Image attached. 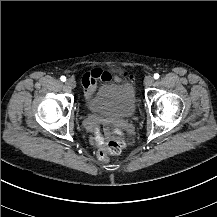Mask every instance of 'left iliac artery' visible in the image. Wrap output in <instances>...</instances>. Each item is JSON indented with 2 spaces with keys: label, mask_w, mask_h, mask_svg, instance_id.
<instances>
[{
  "label": "left iliac artery",
  "mask_w": 217,
  "mask_h": 217,
  "mask_svg": "<svg viewBox=\"0 0 217 217\" xmlns=\"http://www.w3.org/2000/svg\"><path fill=\"white\" fill-rule=\"evenodd\" d=\"M159 76H160V75H159L158 73H155V74H154V78H155V79H158Z\"/></svg>",
  "instance_id": "44dca946"
}]
</instances>
